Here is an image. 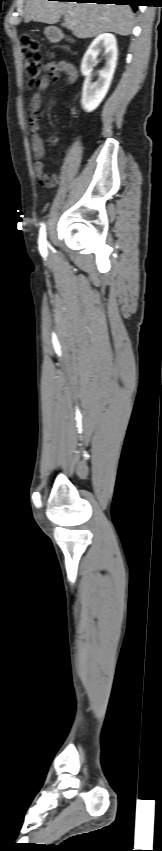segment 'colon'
Returning <instances> with one entry per match:
<instances>
[{
  "label": "colon",
  "mask_w": 162,
  "mask_h": 851,
  "mask_svg": "<svg viewBox=\"0 0 162 851\" xmlns=\"http://www.w3.org/2000/svg\"><path fill=\"white\" fill-rule=\"evenodd\" d=\"M24 74L30 88L36 83L42 72L41 52L38 42L28 34L20 37Z\"/></svg>",
  "instance_id": "1"
}]
</instances>
